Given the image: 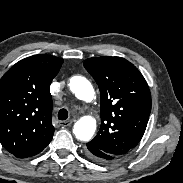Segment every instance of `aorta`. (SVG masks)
<instances>
[{"instance_id":"1","label":"aorta","mask_w":183,"mask_h":183,"mask_svg":"<svg viewBox=\"0 0 183 183\" xmlns=\"http://www.w3.org/2000/svg\"><path fill=\"white\" fill-rule=\"evenodd\" d=\"M69 87L75 96L85 102H91L95 98V90L91 83L82 76H74L69 80ZM96 130V121L90 116L79 119L73 129V133L78 140H90Z\"/></svg>"}]
</instances>
